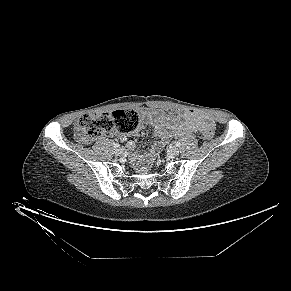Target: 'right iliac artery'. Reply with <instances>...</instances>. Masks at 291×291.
<instances>
[{
	"label": "right iliac artery",
	"mask_w": 291,
	"mask_h": 291,
	"mask_svg": "<svg viewBox=\"0 0 291 291\" xmlns=\"http://www.w3.org/2000/svg\"><path fill=\"white\" fill-rule=\"evenodd\" d=\"M120 147V145L118 144V143H116V144H114V148H119Z\"/></svg>",
	"instance_id": "obj_1"
}]
</instances>
